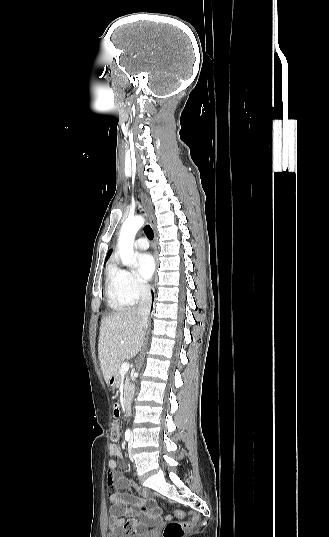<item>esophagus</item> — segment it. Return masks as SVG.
I'll list each match as a JSON object with an SVG mask.
<instances>
[{"mask_svg": "<svg viewBox=\"0 0 329 537\" xmlns=\"http://www.w3.org/2000/svg\"><path fill=\"white\" fill-rule=\"evenodd\" d=\"M141 196H142V201L144 203L145 209H146L148 217H149L150 225H151V227L153 229V232H154V240H155V243H156L158 237H157V231H156V219H155L154 209H153L152 203H151L150 199L147 197V195L142 192ZM154 257H155L156 271L154 273L153 282H155L156 279H157V267H158L157 252H155Z\"/></svg>", "mask_w": 329, "mask_h": 537, "instance_id": "obj_1", "label": "esophagus"}]
</instances>
